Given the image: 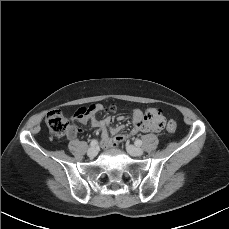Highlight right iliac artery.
I'll list each match as a JSON object with an SVG mask.
<instances>
[{"label": "right iliac artery", "instance_id": "right-iliac-artery-1", "mask_svg": "<svg viewBox=\"0 0 229 229\" xmlns=\"http://www.w3.org/2000/svg\"><path fill=\"white\" fill-rule=\"evenodd\" d=\"M98 145V141L96 139H93L91 142H90V146L91 147H95Z\"/></svg>", "mask_w": 229, "mask_h": 229}]
</instances>
